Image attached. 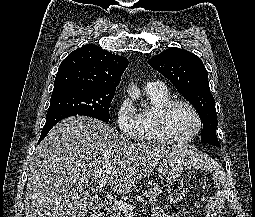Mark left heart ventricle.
Segmentation results:
<instances>
[{
  "mask_svg": "<svg viewBox=\"0 0 255 217\" xmlns=\"http://www.w3.org/2000/svg\"><path fill=\"white\" fill-rule=\"evenodd\" d=\"M197 127L193 112L185 105H176L168 115V129L176 138L191 136Z\"/></svg>",
  "mask_w": 255,
  "mask_h": 217,
  "instance_id": "obj_1",
  "label": "left heart ventricle"
}]
</instances>
